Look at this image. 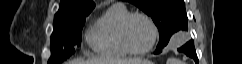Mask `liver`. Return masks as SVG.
I'll use <instances>...</instances> for the list:
<instances>
[{
    "mask_svg": "<svg viewBox=\"0 0 242 64\" xmlns=\"http://www.w3.org/2000/svg\"><path fill=\"white\" fill-rule=\"evenodd\" d=\"M147 60H142L139 58L135 59H74L68 62V64H142L146 63Z\"/></svg>",
    "mask_w": 242,
    "mask_h": 64,
    "instance_id": "6515ba94",
    "label": "liver"
}]
</instances>
